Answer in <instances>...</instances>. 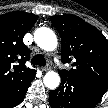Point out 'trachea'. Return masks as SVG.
Masks as SVG:
<instances>
[{
    "label": "trachea",
    "instance_id": "1",
    "mask_svg": "<svg viewBox=\"0 0 108 108\" xmlns=\"http://www.w3.org/2000/svg\"><path fill=\"white\" fill-rule=\"evenodd\" d=\"M31 64L45 66L46 60L42 54H37L31 59Z\"/></svg>",
    "mask_w": 108,
    "mask_h": 108
}]
</instances>
